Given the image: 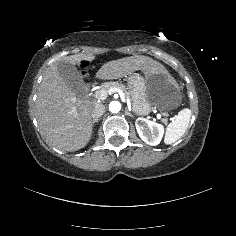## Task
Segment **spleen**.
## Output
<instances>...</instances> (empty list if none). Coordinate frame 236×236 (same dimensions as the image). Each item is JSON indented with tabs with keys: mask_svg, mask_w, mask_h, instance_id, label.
Masks as SVG:
<instances>
[{
	"mask_svg": "<svg viewBox=\"0 0 236 236\" xmlns=\"http://www.w3.org/2000/svg\"><path fill=\"white\" fill-rule=\"evenodd\" d=\"M191 119V110H181L175 119L167 126L164 143L172 144L179 140L187 130Z\"/></svg>",
	"mask_w": 236,
	"mask_h": 236,
	"instance_id": "spleen-1",
	"label": "spleen"
}]
</instances>
